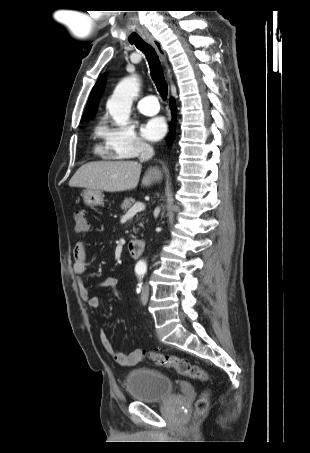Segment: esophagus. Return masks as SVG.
Wrapping results in <instances>:
<instances>
[{
  "instance_id": "obj_1",
  "label": "esophagus",
  "mask_w": 310,
  "mask_h": 453,
  "mask_svg": "<svg viewBox=\"0 0 310 453\" xmlns=\"http://www.w3.org/2000/svg\"><path fill=\"white\" fill-rule=\"evenodd\" d=\"M146 41L149 44H151L155 48L157 53L159 54V56H160V58L162 60V63L164 65V67H165L166 74L170 78L171 77V72H170L169 66L167 64L166 54H165V51H164V49L162 47V44L160 43V41L156 40L153 37H147Z\"/></svg>"
}]
</instances>
